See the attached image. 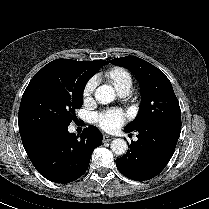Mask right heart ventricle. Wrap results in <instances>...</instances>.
<instances>
[{"label":"right heart ventricle","instance_id":"right-heart-ventricle-1","mask_svg":"<svg viewBox=\"0 0 209 209\" xmlns=\"http://www.w3.org/2000/svg\"><path fill=\"white\" fill-rule=\"evenodd\" d=\"M107 76L117 91L124 88L131 89L132 87V76L127 70L123 68H113L108 72Z\"/></svg>","mask_w":209,"mask_h":209}]
</instances>
